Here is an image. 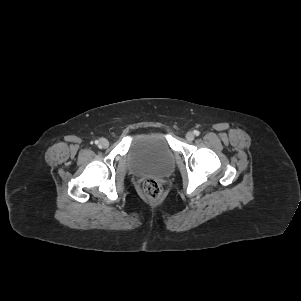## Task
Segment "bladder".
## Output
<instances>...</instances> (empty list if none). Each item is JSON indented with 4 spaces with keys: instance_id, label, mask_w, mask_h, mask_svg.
<instances>
[{
    "instance_id": "bladder-1",
    "label": "bladder",
    "mask_w": 301,
    "mask_h": 301,
    "mask_svg": "<svg viewBox=\"0 0 301 301\" xmlns=\"http://www.w3.org/2000/svg\"><path fill=\"white\" fill-rule=\"evenodd\" d=\"M127 166L135 175L165 177L174 169V152L162 132H147L132 141Z\"/></svg>"
}]
</instances>
